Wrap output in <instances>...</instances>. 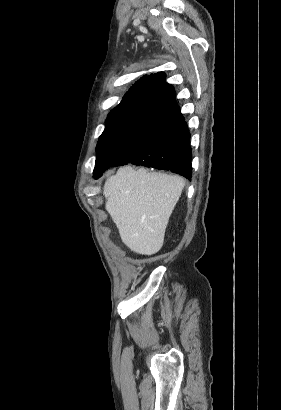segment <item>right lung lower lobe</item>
Returning a JSON list of instances; mask_svg holds the SVG:
<instances>
[{"mask_svg": "<svg viewBox=\"0 0 281 410\" xmlns=\"http://www.w3.org/2000/svg\"><path fill=\"white\" fill-rule=\"evenodd\" d=\"M190 133L176 106L144 133L111 167L126 164L168 170L192 177ZM99 174L95 179L99 178Z\"/></svg>", "mask_w": 281, "mask_h": 410, "instance_id": "98d812e1", "label": "right lung lower lobe"}]
</instances>
